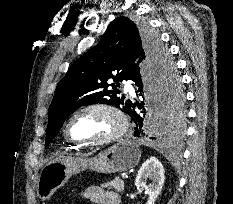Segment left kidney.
<instances>
[{
  "mask_svg": "<svg viewBox=\"0 0 233 204\" xmlns=\"http://www.w3.org/2000/svg\"><path fill=\"white\" fill-rule=\"evenodd\" d=\"M147 179L151 183L147 184ZM165 181L164 168L161 162L150 157L141 166L135 179L137 189H144L149 198L146 204H154L159 194L162 191Z\"/></svg>",
  "mask_w": 233,
  "mask_h": 204,
  "instance_id": "5707ae66",
  "label": "left kidney"
}]
</instances>
